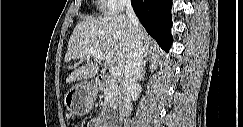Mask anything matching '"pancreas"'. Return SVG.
I'll use <instances>...</instances> for the list:
<instances>
[{
	"mask_svg": "<svg viewBox=\"0 0 243 127\" xmlns=\"http://www.w3.org/2000/svg\"><path fill=\"white\" fill-rule=\"evenodd\" d=\"M105 106H115L119 103V92L113 84L103 89Z\"/></svg>",
	"mask_w": 243,
	"mask_h": 127,
	"instance_id": "cf45deb5",
	"label": "pancreas"
}]
</instances>
